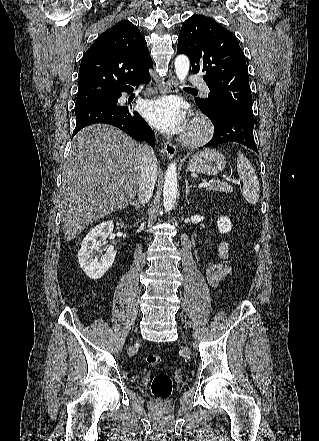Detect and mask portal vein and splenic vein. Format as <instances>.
I'll use <instances>...</instances> for the list:
<instances>
[{
    "instance_id": "18ae733b",
    "label": "portal vein and splenic vein",
    "mask_w": 319,
    "mask_h": 441,
    "mask_svg": "<svg viewBox=\"0 0 319 441\" xmlns=\"http://www.w3.org/2000/svg\"><path fill=\"white\" fill-rule=\"evenodd\" d=\"M119 182L123 183V182H124V179H123V178H120V179H119ZM211 183H212V181L204 182V183H200V184L198 185V187H199V188L208 187V186L211 185ZM235 183H236V184H240V182H238V181H235Z\"/></svg>"
}]
</instances>
